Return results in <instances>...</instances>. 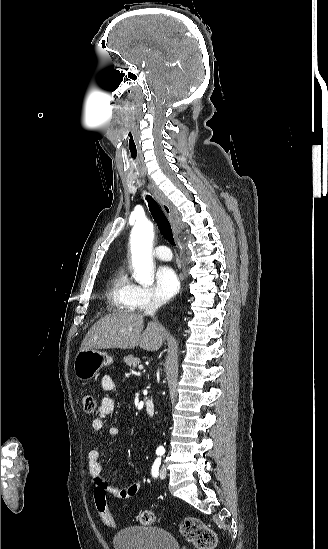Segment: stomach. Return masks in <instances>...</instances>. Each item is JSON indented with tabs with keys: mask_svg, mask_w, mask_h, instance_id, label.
<instances>
[{
	"mask_svg": "<svg viewBox=\"0 0 328 549\" xmlns=\"http://www.w3.org/2000/svg\"><path fill=\"white\" fill-rule=\"evenodd\" d=\"M113 357L100 351H79L74 361V373L80 381H90L102 367L112 365Z\"/></svg>",
	"mask_w": 328,
	"mask_h": 549,
	"instance_id": "0dacf381",
	"label": "stomach"
}]
</instances>
